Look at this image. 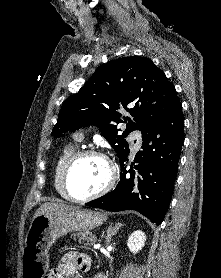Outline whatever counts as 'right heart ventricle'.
Segmentation results:
<instances>
[{
  "label": "right heart ventricle",
  "instance_id": "right-heart-ventricle-1",
  "mask_svg": "<svg viewBox=\"0 0 221 278\" xmlns=\"http://www.w3.org/2000/svg\"><path fill=\"white\" fill-rule=\"evenodd\" d=\"M77 141L78 140H76L75 142L68 143L62 148L54 168V187L58 194L66 199L68 198L66 197L62 187V173L68 160L77 152Z\"/></svg>",
  "mask_w": 221,
  "mask_h": 278
}]
</instances>
